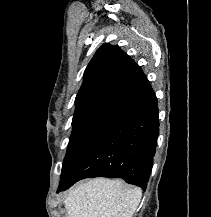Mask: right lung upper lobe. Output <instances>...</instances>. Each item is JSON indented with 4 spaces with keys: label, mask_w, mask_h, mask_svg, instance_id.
Listing matches in <instances>:
<instances>
[{
    "label": "right lung upper lobe",
    "mask_w": 211,
    "mask_h": 217,
    "mask_svg": "<svg viewBox=\"0 0 211 217\" xmlns=\"http://www.w3.org/2000/svg\"><path fill=\"white\" fill-rule=\"evenodd\" d=\"M152 88L141 68L118 46L102 45L84 72L73 120L93 115L118 116Z\"/></svg>",
    "instance_id": "cb5924a9"
}]
</instances>
